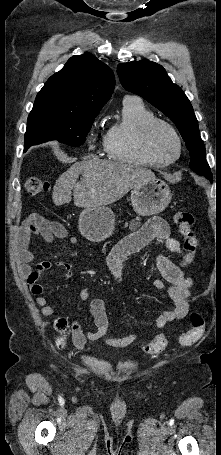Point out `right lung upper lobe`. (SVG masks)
Segmentation results:
<instances>
[{"label":"right lung upper lobe","instance_id":"right-lung-upper-lobe-1","mask_svg":"<svg viewBox=\"0 0 221 455\" xmlns=\"http://www.w3.org/2000/svg\"><path fill=\"white\" fill-rule=\"evenodd\" d=\"M115 87L113 71L86 52L71 57L36 96L33 107L71 113H97Z\"/></svg>","mask_w":221,"mask_h":455}]
</instances>
